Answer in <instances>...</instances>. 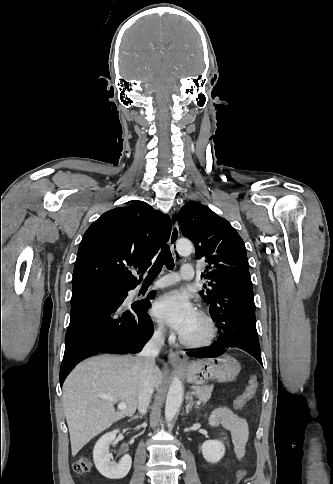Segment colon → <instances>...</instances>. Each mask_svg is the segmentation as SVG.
<instances>
[{
    "label": "colon",
    "mask_w": 333,
    "mask_h": 484,
    "mask_svg": "<svg viewBox=\"0 0 333 484\" xmlns=\"http://www.w3.org/2000/svg\"><path fill=\"white\" fill-rule=\"evenodd\" d=\"M258 389V380L255 375H252L248 381L245 390L235 399L234 408L241 409L248 403L255 395ZM91 470V462L87 458H80L74 464V471L77 474L83 475ZM246 475L245 469H240L236 475V481L239 482Z\"/></svg>",
    "instance_id": "5ec220e1"
}]
</instances>
